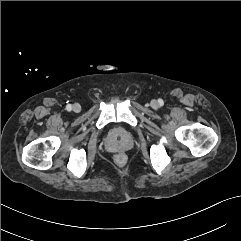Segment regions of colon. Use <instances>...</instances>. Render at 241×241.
<instances>
[{
  "label": "colon",
  "instance_id": "5ec220e1",
  "mask_svg": "<svg viewBox=\"0 0 241 241\" xmlns=\"http://www.w3.org/2000/svg\"><path fill=\"white\" fill-rule=\"evenodd\" d=\"M125 155L124 154H118L116 156V160L119 162V163H123L125 161Z\"/></svg>",
  "mask_w": 241,
  "mask_h": 241
}]
</instances>
